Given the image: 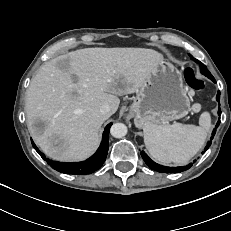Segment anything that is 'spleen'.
<instances>
[{"label": "spleen", "mask_w": 231, "mask_h": 231, "mask_svg": "<svg viewBox=\"0 0 231 231\" xmlns=\"http://www.w3.org/2000/svg\"><path fill=\"white\" fill-rule=\"evenodd\" d=\"M211 127V117L203 112L199 126L174 123L147 125L144 143L150 155L161 163H187L202 148Z\"/></svg>", "instance_id": "3e777b00"}]
</instances>
